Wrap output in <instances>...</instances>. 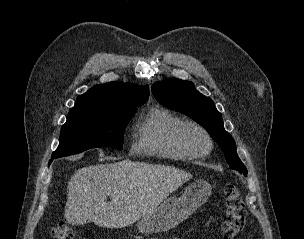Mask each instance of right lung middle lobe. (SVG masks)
<instances>
[{"label":"right lung middle lobe","instance_id":"dd1d6c3e","mask_svg":"<svg viewBox=\"0 0 304 239\" xmlns=\"http://www.w3.org/2000/svg\"><path fill=\"white\" fill-rule=\"evenodd\" d=\"M136 112L129 106L117 112L69 114L60 133V143L52 158H59L97 147L122 149L123 129Z\"/></svg>","mask_w":304,"mask_h":239}]
</instances>
